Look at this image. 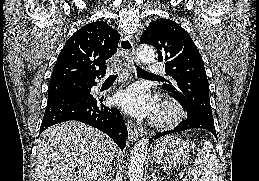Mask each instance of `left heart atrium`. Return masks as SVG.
<instances>
[{
  "mask_svg": "<svg viewBox=\"0 0 259 181\" xmlns=\"http://www.w3.org/2000/svg\"><path fill=\"white\" fill-rule=\"evenodd\" d=\"M114 102L126 113L139 118L153 116L158 112L155 100L138 85L117 93Z\"/></svg>",
  "mask_w": 259,
  "mask_h": 181,
  "instance_id": "left-heart-atrium-1",
  "label": "left heart atrium"
}]
</instances>
